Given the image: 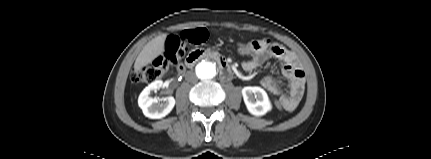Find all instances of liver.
Returning <instances> with one entry per match:
<instances>
[{
    "mask_svg": "<svg viewBox=\"0 0 431 159\" xmlns=\"http://www.w3.org/2000/svg\"><path fill=\"white\" fill-rule=\"evenodd\" d=\"M167 34H162L149 41L141 50L134 63V71L140 73L143 67H146L158 56L164 52L165 40Z\"/></svg>",
    "mask_w": 431,
    "mask_h": 159,
    "instance_id": "1",
    "label": "liver"
}]
</instances>
